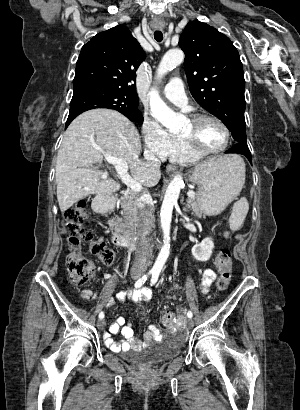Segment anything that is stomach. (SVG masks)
<instances>
[{
    "label": "stomach",
    "mask_w": 300,
    "mask_h": 410,
    "mask_svg": "<svg viewBox=\"0 0 300 410\" xmlns=\"http://www.w3.org/2000/svg\"><path fill=\"white\" fill-rule=\"evenodd\" d=\"M243 165L242 159L233 155L195 168L190 180L199 187L197 200L203 212L217 215L239 194L245 182Z\"/></svg>",
    "instance_id": "1"
}]
</instances>
